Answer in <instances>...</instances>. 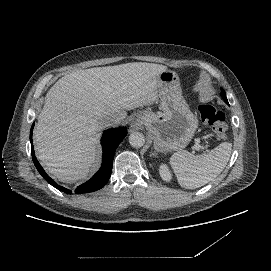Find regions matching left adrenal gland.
Masks as SVG:
<instances>
[{"mask_svg":"<svg viewBox=\"0 0 271 271\" xmlns=\"http://www.w3.org/2000/svg\"><path fill=\"white\" fill-rule=\"evenodd\" d=\"M151 156H157V153H155V152L151 153Z\"/></svg>","mask_w":271,"mask_h":271,"instance_id":"a2214340","label":"left adrenal gland"}]
</instances>
